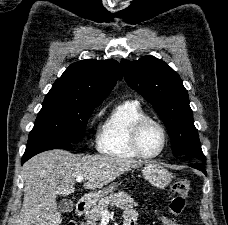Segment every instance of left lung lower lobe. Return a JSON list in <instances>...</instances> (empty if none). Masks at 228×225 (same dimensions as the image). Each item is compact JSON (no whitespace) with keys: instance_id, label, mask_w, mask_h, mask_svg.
Wrapping results in <instances>:
<instances>
[{"instance_id":"1","label":"left lung lower lobe","mask_w":228,"mask_h":225,"mask_svg":"<svg viewBox=\"0 0 228 225\" xmlns=\"http://www.w3.org/2000/svg\"><path fill=\"white\" fill-rule=\"evenodd\" d=\"M191 167L195 168V169H198L200 171H202L205 175H207L204 167H203V163H199V162H195L193 164H190Z\"/></svg>"}]
</instances>
